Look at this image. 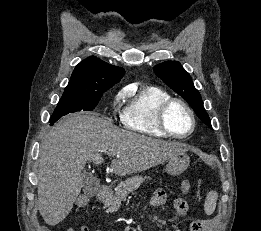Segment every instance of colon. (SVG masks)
Wrapping results in <instances>:
<instances>
[{
    "label": "colon",
    "mask_w": 261,
    "mask_h": 231,
    "mask_svg": "<svg viewBox=\"0 0 261 231\" xmlns=\"http://www.w3.org/2000/svg\"><path fill=\"white\" fill-rule=\"evenodd\" d=\"M189 188H190L189 181H186L185 183L182 184L183 192H188ZM88 202L89 199L87 197H81L75 202V206L77 208H81L86 206ZM204 226H205V221L194 220L191 223L190 231H199ZM42 231H52V230L50 228H43Z\"/></svg>",
    "instance_id": "1"
}]
</instances>
